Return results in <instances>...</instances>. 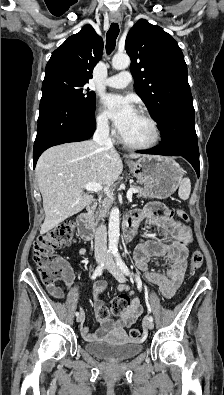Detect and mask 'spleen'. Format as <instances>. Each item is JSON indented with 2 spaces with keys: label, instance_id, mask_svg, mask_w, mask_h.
Returning a JSON list of instances; mask_svg holds the SVG:
<instances>
[{
  "label": "spleen",
  "instance_id": "3e777b00",
  "mask_svg": "<svg viewBox=\"0 0 224 395\" xmlns=\"http://www.w3.org/2000/svg\"><path fill=\"white\" fill-rule=\"evenodd\" d=\"M191 191V182L189 178H184L179 187L178 195L182 200H187L189 198Z\"/></svg>",
  "mask_w": 224,
  "mask_h": 395
}]
</instances>
